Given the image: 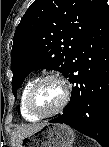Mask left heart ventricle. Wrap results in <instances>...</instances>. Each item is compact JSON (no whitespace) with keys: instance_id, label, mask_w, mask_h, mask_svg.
Wrapping results in <instances>:
<instances>
[{"instance_id":"b2bd125f","label":"left heart ventricle","mask_w":109,"mask_h":147,"mask_svg":"<svg viewBox=\"0 0 109 147\" xmlns=\"http://www.w3.org/2000/svg\"><path fill=\"white\" fill-rule=\"evenodd\" d=\"M63 98L62 86L54 80L42 83L36 90L32 105L39 112H48L54 109Z\"/></svg>"}]
</instances>
